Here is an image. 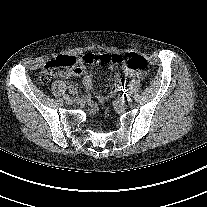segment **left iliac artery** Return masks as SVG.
I'll use <instances>...</instances> for the list:
<instances>
[{
	"label": "left iliac artery",
	"mask_w": 207,
	"mask_h": 207,
	"mask_svg": "<svg viewBox=\"0 0 207 207\" xmlns=\"http://www.w3.org/2000/svg\"><path fill=\"white\" fill-rule=\"evenodd\" d=\"M133 96V93L131 91H128L127 93L124 94V97L127 99H130Z\"/></svg>",
	"instance_id": "left-iliac-artery-1"
}]
</instances>
